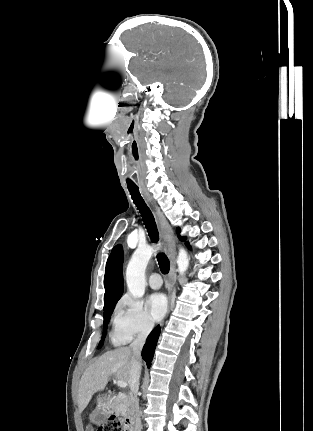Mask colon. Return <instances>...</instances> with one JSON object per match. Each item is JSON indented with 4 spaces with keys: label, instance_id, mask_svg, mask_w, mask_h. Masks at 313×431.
<instances>
[{
    "label": "colon",
    "instance_id": "1",
    "mask_svg": "<svg viewBox=\"0 0 313 431\" xmlns=\"http://www.w3.org/2000/svg\"><path fill=\"white\" fill-rule=\"evenodd\" d=\"M98 431H125L122 419L117 416H111L108 420L99 428Z\"/></svg>",
    "mask_w": 313,
    "mask_h": 431
}]
</instances>
